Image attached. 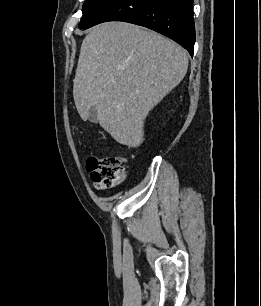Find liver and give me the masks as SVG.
Instances as JSON below:
<instances>
[{
	"mask_svg": "<svg viewBox=\"0 0 261 306\" xmlns=\"http://www.w3.org/2000/svg\"><path fill=\"white\" fill-rule=\"evenodd\" d=\"M186 52L162 35L125 22L93 27L84 38L73 97L85 121L92 106L118 143L139 147L144 120L184 78Z\"/></svg>",
	"mask_w": 261,
	"mask_h": 306,
	"instance_id": "liver-1",
	"label": "liver"
}]
</instances>
